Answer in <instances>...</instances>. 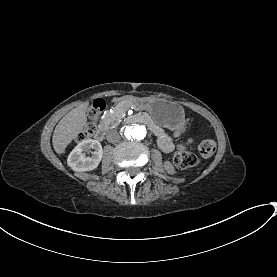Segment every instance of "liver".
<instances>
[{"instance_id": "obj_1", "label": "liver", "mask_w": 277, "mask_h": 277, "mask_svg": "<svg viewBox=\"0 0 277 277\" xmlns=\"http://www.w3.org/2000/svg\"><path fill=\"white\" fill-rule=\"evenodd\" d=\"M89 102H84L68 112L56 125L52 143L57 154H62L71 141L78 136L87 123L86 110Z\"/></svg>"}]
</instances>
